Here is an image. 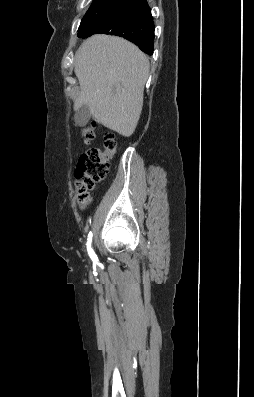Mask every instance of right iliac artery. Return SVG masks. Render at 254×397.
<instances>
[{"label":"right iliac artery","instance_id":"1","mask_svg":"<svg viewBox=\"0 0 254 397\" xmlns=\"http://www.w3.org/2000/svg\"><path fill=\"white\" fill-rule=\"evenodd\" d=\"M91 242H92V232H90V233L88 234V238H87V251H88V254H89V256L91 257V259L94 261V260H97V257H96V255H95V253H94V251H93V248H92V246H91Z\"/></svg>","mask_w":254,"mask_h":397}]
</instances>
